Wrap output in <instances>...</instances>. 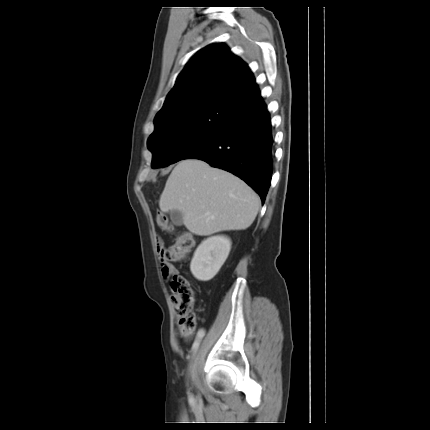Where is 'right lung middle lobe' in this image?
<instances>
[{
	"mask_svg": "<svg viewBox=\"0 0 430 430\" xmlns=\"http://www.w3.org/2000/svg\"><path fill=\"white\" fill-rule=\"evenodd\" d=\"M235 113L223 100H207L155 121L148 140L152 168L185 159L227 128Z\"/></svg>",
	"mask_w": 430,
	"mask_h": 430,
	"instance_id": "obj_1",
	"label": "right lung middle lobe"
}]
</instances>
